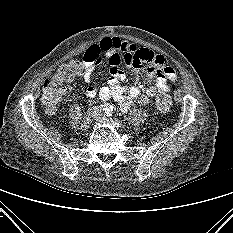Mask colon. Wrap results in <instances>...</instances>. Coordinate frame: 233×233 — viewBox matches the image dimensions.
I'll use <instances>...</instances> for the list:
<instances>
[{"instance_id":"obj_1","label":"colon","mask_w":233,"mask_h":233,"mask_svg":"<svg viewBox=\"0 0 233 233\" xmlns=\"http://www.w3.org/2000/svg\"><path fill=\"white\" fill-rule=\"evenodd\" d=\"M85 65L83 61L72 60L58 67L55 74L44 83L41 103L45 111L52 114L58 105L64 91V84L71 81L75 76L81 75ZM171 96L160 93L155 99V105L159 112H168L171 108Z\"/></svg>"}]
</instances>
